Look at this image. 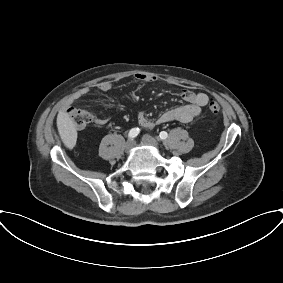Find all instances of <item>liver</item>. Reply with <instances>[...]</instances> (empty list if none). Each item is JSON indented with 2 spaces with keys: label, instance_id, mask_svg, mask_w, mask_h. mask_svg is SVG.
I'll list each match as a JSON object with an SVG mask.
<instances>
[{
  "label": "liver",
  "instance_id": "6515ba94",
  "mask_svg": "<svg viewBox=\"0 0 283 283\" xmlns=\"http://www.w3.org/2000/svg\"><path fill=\"white\" fill-rule=\"evenodd\" d=\"M57 128L64 145L72 149L77 140L76 126L69 115L64 111L58 112Z\"/></svg>",
  "mask_w": 283,
  "mask_h": 283
}]
</instances>
